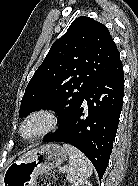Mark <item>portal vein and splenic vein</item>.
Wrapping results in <instances>:
<instances>
[{"label":"portal vein and splenic vein","instance_id":"portal-vein-and-splenic-vein-1","mask_svg":"<svg viewBox=\"0 0 138 186\" xmlns=\"http://www.w3.org/2000/svg\"><path fill=\"white\" fill-rule=\"evenodd\" d=\"M61 172H62V173H65V172H66V169H65V168H62V169H61Z\"/></svg>","mask_w":138,"mask_h":186}]
</instances>
